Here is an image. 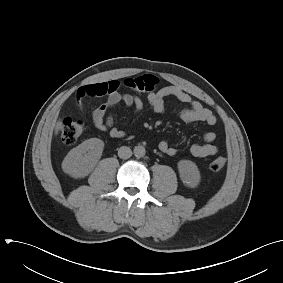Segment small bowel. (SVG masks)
<instances>
[{
    "mask_svg": "<svg viewBox=\"0 0 283 283\" xmlns=\"http://www.w3.org/2000/svg\"><path fill=\"white\" fill-rule=\"evenodd\" d=\"M121 83L118 80H110L104 82L85 85L78 89L76 93V104L79 109L83 110L84 100L87 97L106 96V101L98 106L92 112V121L94 126L101 132H108L113 138H122L125 132L114 126V116L111 110L120 103L126 108L138 114L144 110L143 100L133 94L121 93L119 91ZM167 97H175L184 105L178 111L180 119L185 123L204 122L209 126L216 124V117L213 112L204 107L200 102L195 101L192 97L177 86H166L156 92L148 95L147 101L150 110L156 114H162L165 111L164 100ZM216 133L208 131L204 135V143H195L190 146V153L195 157H208L217 154L218 146L214 143ZM159 150L168 156H174L177 152L176 148L167 141L159 142Z\"/></svg>",
    "mask_w": 283,
    "mask_h": 283,
    "instance_id": "obj_1",
    "label": "small bowel"
}]
</instances>
